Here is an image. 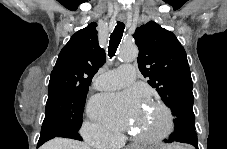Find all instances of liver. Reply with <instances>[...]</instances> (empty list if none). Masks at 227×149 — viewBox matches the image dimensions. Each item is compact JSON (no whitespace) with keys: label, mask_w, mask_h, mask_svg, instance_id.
Wrapping results in <instances>:
<instances>
[{"label":"liver","mask_w":227,"mask_h":149,"mask_svg":"<svg viewBox=\"0 0 227 149\" xmlns=\"http://www.w3.org/2000/svg\"><path fill=\"white\" fill-rule=\"evenodd\" d=\"M170 147L172 146H168L167 148ZM41 149H90V148L87 144L79 141L64 138H55L41 146Z\"/></svg>","instance_id":"1"}]
</instances>
